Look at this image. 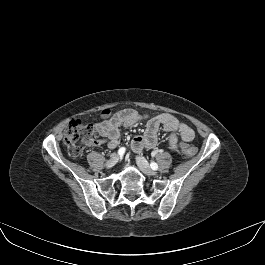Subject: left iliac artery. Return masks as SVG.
Wrapping results in <instances>:
<instances>
[{"label": "left iliac artery", "mask_w": 265, "mask_h": 265, "mask_svg": "<svg viewBox=\"0 0 265 265\" xmlns=\"http://www.w3.org/2000/svg\"><path fill=\"white\" fill-rule=\"evenodd\" d=\"M150 167H151L153 170H157V169H158V165H157V163H155V162H151Z\"/></svg>", "instance_id": "44dca946"}]
</instances>
